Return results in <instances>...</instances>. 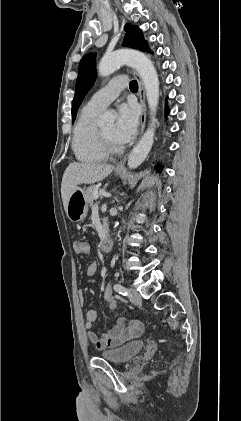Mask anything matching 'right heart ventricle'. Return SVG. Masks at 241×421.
I'll use <instances>...</instances> for the list:
<instances>
[{"instance_id": "obj_1", "label": "right heart ventricle", "mask_w": 241, "mask_h": 421, "mask_svg": "<svg viewBox=\"0 0 241 421\" xmlns=\"http://www.w3.org/2000/svg\"><path fill=\"white\" fill-rule=\"evenodd\" d=\"M100 111L84 106L73 129L72 150L77 160L85 163L104 161L108 153L104 150L95 119Z\"/></svg>"}]
</instances>
